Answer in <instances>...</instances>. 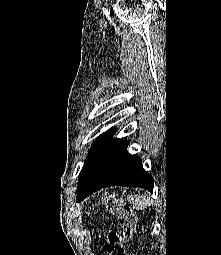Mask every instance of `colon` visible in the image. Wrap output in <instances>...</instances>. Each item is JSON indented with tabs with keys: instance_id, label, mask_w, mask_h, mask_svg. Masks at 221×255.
<instances>
[{
	"instance_id": "1",
	"label": "colon",
	"mask_w": 221,
	"mask_h": 255,
	"mask_svg": "<svg viewBox=\"0 0 221 255\" xmlns=\"http://www.w3.org/2000/svg\"><path fill=\"white\" fill-rule=\"evenodd\" d=\"M102 202L119 219L116 228L108 233L105 250L108 255H126L125 244L132 238L136 217L130 205L113 195H105Z\"/></svg>"
}]
</instances>
